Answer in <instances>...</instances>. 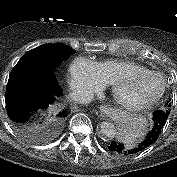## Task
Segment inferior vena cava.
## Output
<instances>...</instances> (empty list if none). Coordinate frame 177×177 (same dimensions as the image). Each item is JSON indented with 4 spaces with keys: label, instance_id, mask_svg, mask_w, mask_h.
<instances>
[{
    "label": "inferior vena cava",
    "instance_id": "inferior-vena-cava-1",
    "mask_svg": "<svg viewBox=\"0 0 177 177\" xmlns=\"http://www.w3.org/2000/svg\"><path fill=\"white\" fill-rule=\"evenodd\" d=\"M70 97L77 103L87 104L93 99V94L88 91H73Z\"/></svg>",
    "mask_w": 177,
    "mask_h": 177
}]
</instances>
